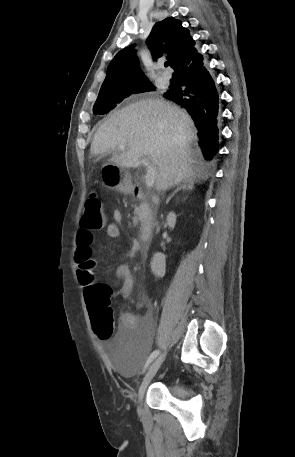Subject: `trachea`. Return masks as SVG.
<instances>
[{
  "label": "trachea",
  "instance_id": "3493384b",
  "mask_svg": "<svg viewBox=\"0 0 295 457\" xmlns=\"http://www.w3.org/2000/svg\"><path fill=\"white\" fill-rule=\"evenodd\" d=\"M164 66L167 67L168 66V62H165Z\"/></svg>",
  "mask_w": 295,
  "mask_h": 457
}]
</instances>
